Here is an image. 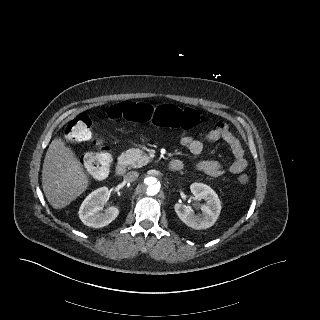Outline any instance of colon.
<instances>
[{
  "instance_id": "colon-1",
  "label": "colon",
  "mask_w": 320,
  "mask_h": 320,
  "mask_svg": "<svg viewBox=\"0 0 320 320\" xmlns=\"http://www.w3.org/2000/svg\"><path fill=\"white\" fill-rule=\"evenodd\" d=\"M104 117L111 120L121 119L138 123H153L163 128H180L189 130L201 125L204 121L197 111L181 108L172 104H164L157 107L148 103L124 101L110 106L104 113ZM66 137L71 141L89 142L96 141L92 132V121L86 115H79L68 123ZM82 162L90 174L98 178H104L109 174L112 157L106 147L100 146L95 152L87 153ZM237 181L244 185L249 181L246 174H241Z\"/></svg>"
}]
</instances>
